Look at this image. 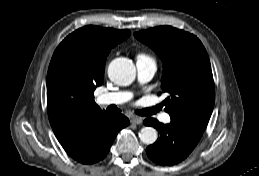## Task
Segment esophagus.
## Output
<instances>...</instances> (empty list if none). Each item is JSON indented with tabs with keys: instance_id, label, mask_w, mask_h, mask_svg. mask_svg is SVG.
<instances>
[{
	"instance_id": "esophagus-1",
	"label": "esophagus",
	"mask_w": 259,
	"mask_h": 176,
	"mask_svg": "<svg viewBox=\"0 0 259 176\" xmlns=\"http://www.w3.org/2000/svg\"><path fill=\"white\" fill-rule=\"evenodd\" d=\"M142 121H143V120H142L141 117L132 116V117L130 118V122H131L132 124H135V125L141 124Z\"/></svg>"
}]
</instances>
